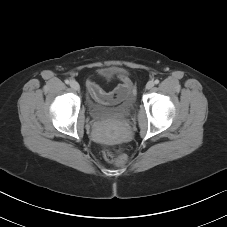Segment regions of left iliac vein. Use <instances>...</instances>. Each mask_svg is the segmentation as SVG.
<instances>
[{
	"instance_id": "left-iliac-vein-1",
	"label": "left iliac vein",
	"mask_w": 227,
	"mask_h": 227,
	"mask_svg": "<svg viewBox=\"0 0 227 227\" xmlns=\"http://www.w3.org/2000/svg\"><path fill=\"white\" fill-rule=\"evenodd\" d=\"M154 86V82L153 81H148L146 84V89H151Z\"/></svg>"
}]
</instances>
